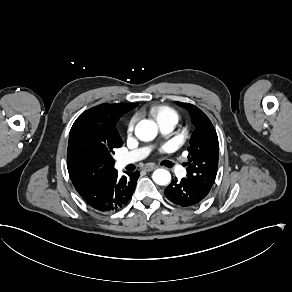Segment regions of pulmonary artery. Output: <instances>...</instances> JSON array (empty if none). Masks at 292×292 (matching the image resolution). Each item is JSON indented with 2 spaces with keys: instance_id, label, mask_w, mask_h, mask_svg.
I'll use <instances>...</instances> for the list:
<instances>
[{
  "instance_id": "pulmonary-artery-1",
  "label": "pulmonary artery",
  "mask_w": 292,
  "mask_h": 292,
  "mask_svg": "<svg viewBox=\"0 0 292 292\" xmlns=\"http://www.w3.org/2000/svg\"><path fill=\"white\" fill-rule=\"evenodd\" d=\"M158 124L163 133H169L175 128L177 124V119L175 118L162 119L158 122ZM146 151H147V148H141L136 151L123 154L118 158L117 164L120 166H123L131 161L138 160L144 156ZM183 175H185V173H183Z\"/></svg>"
}]
</instances>
